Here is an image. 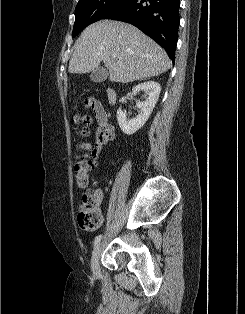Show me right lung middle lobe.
I'll return each mask as SVG.
<instances>
[{"label": "right lung middle lobe", "instance_id": "right-lung-middle-lobe-1", "mask_svg": "<svg viewBox=\"0 0 245 314\" xmlns=\"http://www.w3.org/2000/svg\"><path fill=\"white\" fill-rule=\"evenodd\" d=\"M129 0H79L75 8V24L72 37L88 25L104 18Z\"/></svg>", "mask_w": 245, "mask_h": 314}]
</instances>
